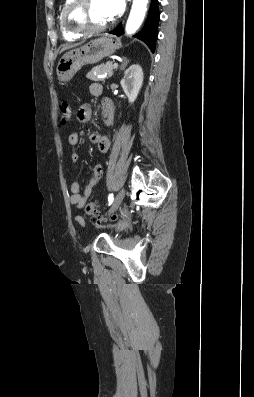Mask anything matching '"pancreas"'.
<instances>
[{"mask_svg":"<svg viewBox=\"0 0 254 397\" xmlns=\"http://www.w3.org/2000/svg\"><path fill=\"white\" fill-rule=\"evenodd\" d=\"M116 68L113 67V62H107L106 64L99 65L93 68L86 77L91 81H103L110 78L113 75V71ZM100 78L99 76H103Z\"/></svg>","mask_w":254,"mask_h":397,"instance_id":"pancreas-1","label":"pancreas"}]
</instances>
